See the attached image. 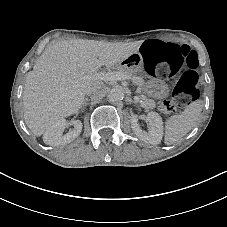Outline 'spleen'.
Returning a JSON list of instances; mask_svg holds the SVG:
<instances>
[{
	"label": "spleen",
	"instance_id": "1",
	"mask_svg": "<svg viewBox=\"0 0 227 227\" xmlns=\"http://www.w3.org/2000/svg\"><path fill=\"white\" fill-rule=\"evenodd\" d=\"M202 111L200 102H192L181 114L171 116L165 123L164 143L180 141L197 123Z\"/></svg>",
	"mask_w": 227,
	"mask_h": 227
}]
</instances>
